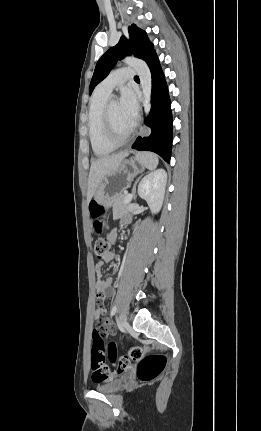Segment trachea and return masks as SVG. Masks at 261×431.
Here are the masks:
<instances>
[{
  "label": "trachea",
  "mask_w": 261,
  "mask_h": 431,
  "mask_svg": "<svg viewBox=\"0 0 261 431\" xmlns=\"http://www.w3.org/2000/svg\"><path fill=\"white\" fill-rule=\"evenodd\" d=\"M134 79H136V80H137V79H139V77H138V76H135V77H134Z\"/></svg>",
  "instance_id": "trachea-1"
}]
</instances>
